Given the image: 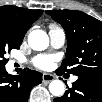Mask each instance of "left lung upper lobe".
<instances>
[{
  "label": "left lung upper lobe",
  "instance_id": "5c2ea615",
  "mask_svg": "<svg viewBox=\"0 0 102 102\" xmlns=\"http://www.w3.org/2000/svg\"><path fill=\"white\" fill-rule=\"evenodd\" d=\"M67 35L66 58L57 72L102 78V22L81 11H45Z\"/></svg>",
  "mask_w": 102,
  "mask_h": 102
}]
</instances>
